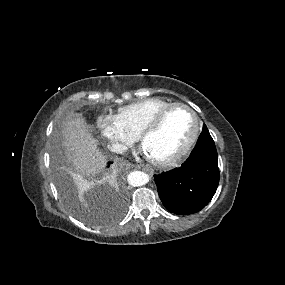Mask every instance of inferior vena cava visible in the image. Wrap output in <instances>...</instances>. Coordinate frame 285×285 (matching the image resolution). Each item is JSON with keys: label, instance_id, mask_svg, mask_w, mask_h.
I'll use <instances>...</instances> for the list:
<instances>
[{"label": "inferior vena cava", "instance_id": "602c4592", "mask_svg": "<svg viewBox=\"0 0 285 285\" xmlns=\"http://www.w3.org/2000/svg\"><path fill=\"white\" fill-rule=\"evenodd\" d=\"M109 149L115 153H123L127 150V147L119 142H113L112 144L108 145Z\"/></svg>", "mask_w": 285, "mask_h": 285}]
</instances>
